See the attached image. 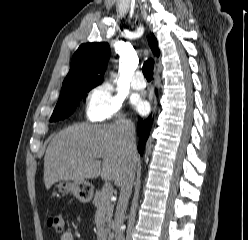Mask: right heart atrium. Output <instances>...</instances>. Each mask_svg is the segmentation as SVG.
I'll return each mask as SVG.
<instances>
[{"mask_svg": "<svg viewBox=\"0 0 248 240\" xmlns=\"http://www.w3.org/2000/svg\"><path fill=\"white\" fill-rule=\"evenodd\" d=\"M123 99L115 95L106 83L88 90L85 97V115L94 122L122 118Z\"/></svg>", "mask_w": 248, "mask_h": 240, "instance_id": "1", "label": "right heart atrium"}]
</instances>
